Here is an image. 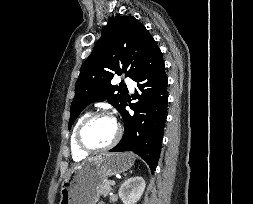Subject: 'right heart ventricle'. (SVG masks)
I'll list each match as a JSON object with an SVG mask.
<instances>
[{"instance_id": "right-heart-ventricle-1", "label": "right heart ventricle", "mask_w": 253, "mask_h": 204, "mask_svg": "<svg viewBox=\"0 0 253 204\" xmlns=\"http://www.w3.org/2000/svg\"><path fill=\"white\" fill-rule=\"evenodd\" d=\"M88 115V113L82 115L76 122L73 131H72V135H71V139H70V147H71V153H72V158L75 161H81L83 160L88 153L82 151L76 142V133H77V129L80 125V123L83 121V119Z\"/></svg>"}]
</instances>
